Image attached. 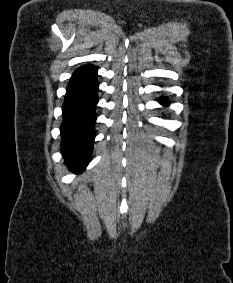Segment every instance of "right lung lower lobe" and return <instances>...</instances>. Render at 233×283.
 Instances as JSON below:
<instances>
[{"label":"right lung lower lobe","instance_id":"obj_1","mask_svg":"<svg viewBox=\"0 0 233 283\" xmlns=\"http://www.w3.org/2000/svg\"><path fill=\"white\" fill-rule=\"evenodd\" d=\"M97 92L96 67L87 64L78 68L67 86L61 125L62 154L66 165L74 172L84 170L90 161L95 138Z\"/></svg>","mask_w":233,"mask_h":283}]
</instances>
